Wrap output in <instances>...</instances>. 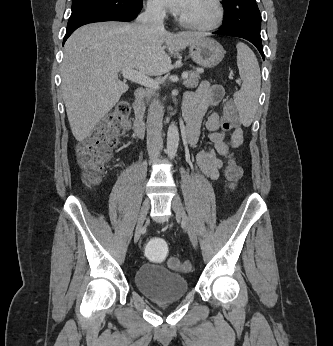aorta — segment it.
Here are the masks:
<instances>
[{"mask_svg": "<svg viewBox=\"0 0 333 346\" xmlns=\"http://www.w3.org/2000/svg\"><path fill=\"white\" fill-rule=\"evenodd\" d=\"M179 144V132L175 123H171L167 132V155L173 159L177 153Z\"/></svg>", "mask_w": 333, "mask_h": 346, "instance_id": "762f6f07", "label": "aorta"}]
</instances>
